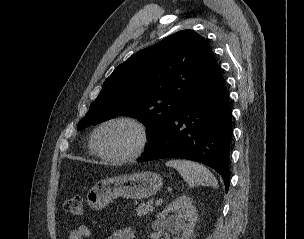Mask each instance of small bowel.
Wrapping results in <instances>:
<instances>
[{
  "instance_id": "1",
  "label": "small bowel",
  "mask_w": 304,
  "mask_h": 239,
  "mask_svg": "<svg viewBox=\"0 0 304 239\" xmlns=\"http://www.w3.org/2000/svg\"><path fill=\"white\" fill-rule=\"evenodd\" d=\"M90 237V229L85 225H80L68 234L67 239H88ZM133 237L134 232L131 228H121L108 236L107 239H133Z\"/></svg>"
}]
</instances>
